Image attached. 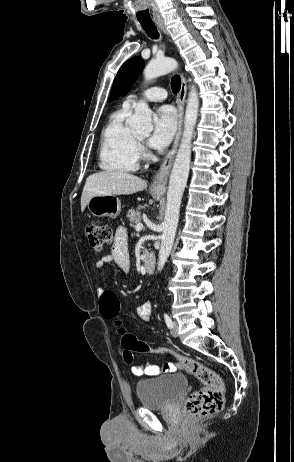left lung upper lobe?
Wrapping results in <instances>:
<instances>
[{
	"label": "left lung upper lobe",
	"instance_id": "1",
	"mask_svg": "<svg viewBox=\"0 0 294 462\" xmlns=\"http://www.w3.org/2000/svg\"><path fill=\"white\" fill-rule=\"evenodd\" d=\"M145 63L142 58L134 57L126 61L119 69L111 90L108 102L117 99L121 95H125L141 74Z\"/></svg>",
	"mask_w": 294,
	"mask_h": 462
}]
</instances>
